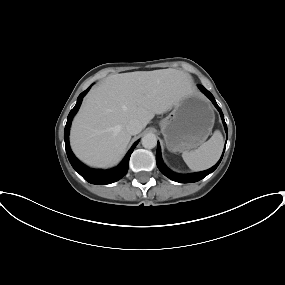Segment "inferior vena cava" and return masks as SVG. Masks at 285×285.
Returning <instances> with one entry per match:
<instances>
[{
  "label": "inferior vena cava",
  "mask_w": 285,
  "mask_h": 285,
  "mask_svg": "<svg viewBox=\"0 0 285 285\" xmlns=\"http://www.w3.org/2000/svg\"><path fill=\"white\" fill-rule=\"evenodd\" d=\"M126 130H127V132H128L130 135H136V134H138V133L141 132V130H142V125H141V123H140L138 120H136V119L130 120V121L128 122V124L126 125Z\"/></svg>",
  "instance_id": "602c4592"
}]
</instances>
